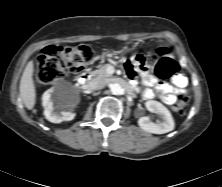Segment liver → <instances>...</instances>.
Listing matches in <instances>:
<instances>
[{"instance_id":"6515ba94","label":"liver","mask_w":222,"mask_h":187,"mask_svg":"<svg viewBox=\"0 0 222 187\" xmlns=\"http://www.w3.org/2000/svg\"><path fill=\"white\" fill-rule=\"evenodd\" d=\"M33 70L34 64L33 60H31L28 62L24 69L19 86L20 97L25 107L29 110L33 109L36 101V90L33 81Z\"/></svg>"}]
</instances>
